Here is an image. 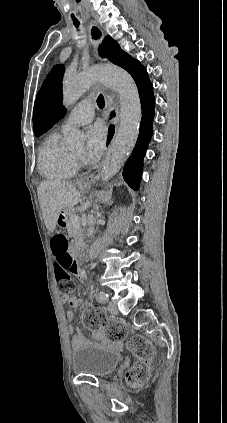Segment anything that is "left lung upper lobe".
Listing matches in <instances>:
<instances>
[{
  "instance_id": "left-lung-upper-lobe-1",
  "label": "left lung upper lobe",
  "mask_w": 227,
  "mask_h": 423,
  "mask_svg": "<svg viewBox=\"0 0 227 423\" xmlns=\"http://www.w3.org/2000/svg\"><path fill=\"white\" fill-rule=\"evenodd\" d=\"M101 56L107 57L112 63L124 68L132 75L136 83L147 74L140 62L121 50L110 36L105 37L103 41ZM63 71V66H55L37 94L33 112L35 136L45 133L65 115L66 110L62 107Z\"/></svg>"
}]
</instances>
